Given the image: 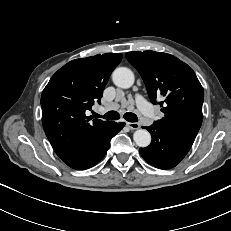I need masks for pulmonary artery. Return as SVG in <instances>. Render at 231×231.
Listing matches in <instances>:
<instances>
[{
    "instance_id": "1",
    "label": "pulmonary artery",
    "mask_w": 231,
    "mask_h": 231,
    "mask_svg": "<svg viewBox=\"0 0 231 231\" xmlns=\"http://www.w3.org/2000/svg\"><path fill=\"white\" fill-rule=\"evenodd\" d=\"M136 104L139 110L148 118H152L154 116L153 109L147 103V101L140 95L136 96Z\"/></svg>"
}]
</instances>
